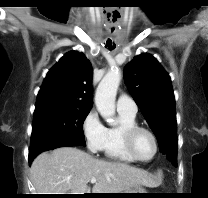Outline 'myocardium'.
I'll return each mask as SVG.
<instances>
[{
  "mask_svg": "<svg viewBox=\"0 0 208 198\" xmlns=\"http://www.w3.org/2000/svg\"><path fill=\"white\" fill-rule=\"evenodd\" d=\"M140 131L147 132L152 137V139L154 141V144H155L154 154H153L152 157H150L148 159L141 158L137 154V152L135 150V147H134V139H135L137 133L140 132ZM124 143H125L127 151L130 153V155L134 159H136L137 161H140V162H150V161H152L156 157V155L158 154V151H159V142H158L156 134L151 129H149L148 127L141 126V125H138V124L125 129V131H124Z\"/></svg>",
  "mask_w": 208,
  "mask_h": 198,
  "instance_id": "1",
  "label": "myocardium"
}]
</instances>
